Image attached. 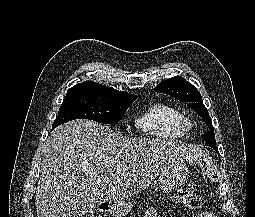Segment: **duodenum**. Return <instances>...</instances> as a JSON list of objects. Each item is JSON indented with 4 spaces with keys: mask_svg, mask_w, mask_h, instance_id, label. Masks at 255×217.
<instances>
[{
    "mask_svg": "<svg viewBox=\"0 0 255 217\" xmlns=\"http://www.w3.org/2000/svg\"><path fill=\"white\" fill-rule=\"evenodd\" d=\"M100 210L103 212H108L110 210V206L108 204L100 205Z\"/></svg>",
    "mask_w": 255,
    "mask_h": 217,
    "instance_id": "duodenum-1",
    "label": "duodenum"
}]
</instances>
